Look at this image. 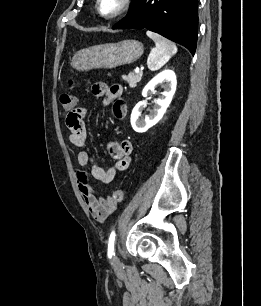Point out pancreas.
I'll use <instances>...</instances> for the list:
<instances>
[{
  "label": "pancreas",
  "instance_id": "1",
  "mask_svg": "<svg viewBox=\"0 0 261 306\" xmlns=\"http://www.w3.org/2000/svg\"><path fill=\"white\" fill-rule=\"evenodd\" d=\"M142 75V71L139 73H129L128 75H122V79L128 82L130 87H135L141 81Z\"/></svg>",
  "mask_w": 261,
  "mask_h": 306
}]
</instances>
